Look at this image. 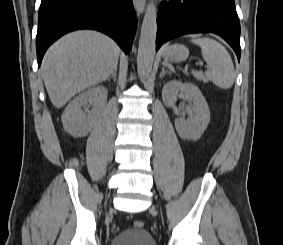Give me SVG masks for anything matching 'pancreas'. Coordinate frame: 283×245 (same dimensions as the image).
I'll use <instances>...</instances> for the list:
<instances>
[{
  "label": "pancreas",
  "mask_w": 283,
  "mask_h": 245,
  "mask_svg": "<svg viewBox=\"0 0 283 245\" xmlns=\"http://www.w3.org/2000/svg\"><path fill=\"white\" fill-rule=\"evenodd\" d=\"M193 74H194L195 76H200V74L197 73V72H194Z\"/></svg>",
  "instance_id": "1"
}]
</instances>
